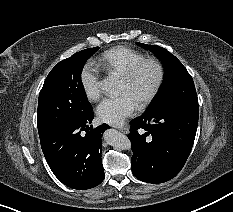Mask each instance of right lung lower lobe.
Masks as SVG:
<instances>
[{
  "instance_id": "right-lung-lower-lobe-1",
  "label": "right lung lower lobe",
  "mask_w": 233,
  "mask_h": 212,
  "mask_svg": "<svg viewBox=\"0 0 233 212\" xmlns=\"http://www.w3.org/2000/svg\"><path fill=\"white\" fill-rule=\"evenodd\" d=\"M93 117L91 111L79 120L64 124L40 137L50 169L63 184L73 189L93 188L105 177L101 160V137L109 126L102 124L93 129L90 125Z\"/></svg>"
}]
</instances>
